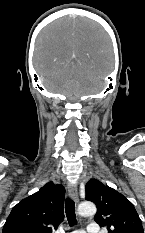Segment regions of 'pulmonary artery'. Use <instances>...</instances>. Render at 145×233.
<instances>
[{"label": "pulmonary artery", "mask_w": 145, "mask_h": 233, "mask_svg": "<svg viewBox=\"0 0 145 233\" xmlns=\"http://www.w3.org/2000/svg\"><path fill=\"white\" fill-rule=\"evenodd\" d=\"M71 233H101L99 225L96 223H90L86 229V231L77 230Z\"/></svg>", "instance_id": "obj_1"}]
</instances>
